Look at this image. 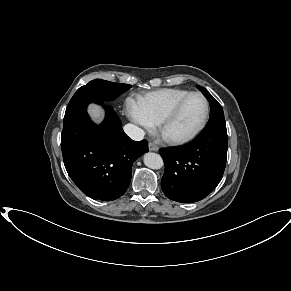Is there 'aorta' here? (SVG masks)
<instances>
[{
    "label": "aorta",
    "instance_id": "obj_1",
    "mask_svg": "<svg viewBox=\"0 0 291 291\" xmlns=\"http://www.w3.org/2000/svg\"><path fill=\"white\" fill-rule=\"evenodd\" d=\"M144 164L151 169H160L163 167V159L159 154L148 152L144 155Z\"/></svg>",
    "mask_w": 291,
    "mask_h": 291
}]
</instances>
